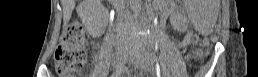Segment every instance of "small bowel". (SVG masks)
Returning <instances> with one entry per match:
<instances>
[{
    "instance_id": "small-bowel-1",
    "label": "small bowel",
    "mask_w": 258,
    "mask_h": 77,
    "mask_svg": "<svg viewBox=\"0 0 258 77\" xmlns=\"http://www.w3.org/2000/svg\"><path fill=\"white\" fill-rule=\"evenodd\" d=\"M188 42V40H185V42L184 43H187Z\"/></svg>"
}]
</instances>
